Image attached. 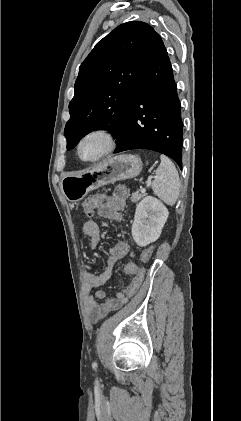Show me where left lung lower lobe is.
Returning <instances> with one entry per match:
<instances>
[{
	"label": "left lung lower lobe",
	"instance_id": "0a47b994",
	"mask_svg": "<svg viewBox=\"0 0 241 421\" xmlns=\"http://www.w3.org/2000/svg\"><path fill=\"white\" fill-rule=\"evenodd\" d=\"M181 104L171 63L159 36L138 81L125 132L115 153L149 149L182 168Z\"/></svg>",
	"mask_w": 241,
	"mask_h": 421
}]
</instances>
